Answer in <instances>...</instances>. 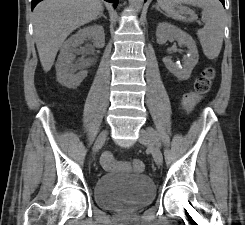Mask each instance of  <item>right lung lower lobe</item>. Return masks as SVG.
<instances>
[{"label":"right lung lower lobe","instance_id":"right-lung-lower-lobe-1","mask_svg":"<svg viewBox=\"0 0 245 225\" xmlns=\"http://www.w3.org/2000/svg\"><path fill=\"white\" fill-rule=\"evenodd\" d=\"M40 1H42V0H32V9L40 2ZM105 1H108V2H110V3H114V7H116L117 6V4H118V0H105Z\"/></svg>","mask_w":245,"mask_h":225}]
</instances>
